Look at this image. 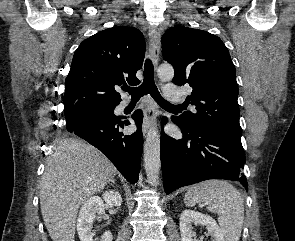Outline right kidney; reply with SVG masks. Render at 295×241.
<instances>
[{
  "label": "right kidney",
  "mask_w": 295,
  "mask_h": 241,
  "mask_svg": "<svg viewBox=\"0 0 295 241\" xmlns=\"http://www.w3.org/2000/svg\"><path fill=\"white\" fill-rule=\"evenodd\" d=\"M122 197L118 191H106L102 197L93 196L85 201L80 209L77 219V231L80 241H93V222L98 215L105 213L106 206L120 207ZM112 233L106 231L98 241H112Z\"/></svg>",
  "instance_id": "1"
}]
</instances>
